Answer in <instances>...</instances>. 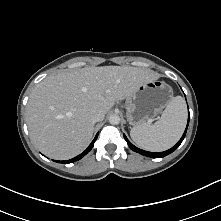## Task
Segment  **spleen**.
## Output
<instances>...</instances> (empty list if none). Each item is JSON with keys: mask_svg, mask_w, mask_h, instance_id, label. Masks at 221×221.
Returning <instances> with one entry per match:
<instances>
[{"mask_svg": "<svg viewBox=\"0 0 221 221\" xmlns=\"http://www.w3.org/2000/svg\"><path fill=\"white\" fill-rule=\"evenodd\" d=\"M187 122V107L181 96L174 97L161 118L153 125L144 123L131 128L132 140L142 149L160 152L172 147L181 137Z\"/></svg>", "mask_w": 221, "mask_h": 221, "instance_id": "spleen-1", "label": "spleen"}]
</instances>
